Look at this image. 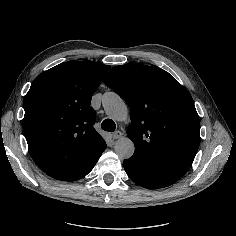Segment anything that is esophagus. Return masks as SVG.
<instances>
[{
	"label": "esophagus",
	"mask_w": 236,
	"mask_h": 236,
	"mask_svg": "<svg viewBox=\"0 0 236 236\" xmlns=\"http://www.w3.org/2000/svg\"><path fill=\"white\" fill-rule=\"evenodd\" d=\"M122 136V132L121 131H116L114 134H113V139H118Z\"/></svg>",
	"instance_id": "esophagus-1"
}]
</instances>
